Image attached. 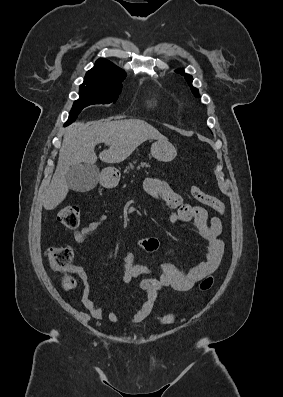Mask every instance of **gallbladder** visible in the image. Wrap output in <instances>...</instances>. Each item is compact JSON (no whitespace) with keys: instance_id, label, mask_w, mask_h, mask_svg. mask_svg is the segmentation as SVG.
<instances>
[{"instance_id":"bac80fb5","label":"gallbladder","mask_w":283,"mask_h":397,"mask_svg":"<svg viewBox=\"0 0 283 397\" xmlns=\"http://www.w3.org/2000/svg\"><path fill=\"white\" fill-rule=\"evenodd\" d=\"M66 180L73 191H90L98 182V168L84 163L73 165L66 173Z\"/></svg>"}]
</instances>
